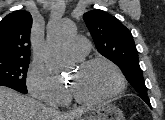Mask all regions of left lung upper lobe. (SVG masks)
<instances>
[{
	"instance_id": "5c2ea615",
	"label": "left lung upper lobe",
	"mask_w": 165,
	"mask_h": 120,
	"mask_svg": "<svg viewBox=\"0 0 165 120\" xmlns=\"http://www.w3.org/2000/svg\"><path fill=\"white\" fill-rule=\"evenodd\" d=\"M83 19L98 52L119 66L138 96L151 106L131 32L117 18L102 10L89 11Z\"/></svg>"
}]
</instances>
